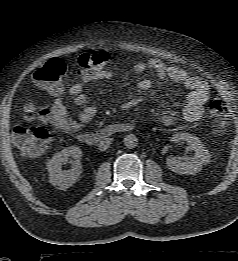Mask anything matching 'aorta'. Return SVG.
<instances>
[{"instance_id":"1","label":"aorta","mask_w":238,"mask_h":261,"mask_svg":"<svg viewBox=\"0 0 238 261\" xmlns=\"http://www.w3.org/2000/svg\"><path fill=\"white\" fill-rule=\"evenodd\" d=\"M138 144V138L134 134H128L124 138V145L129 148H135Z\"/></svg>"}]
</instances>
